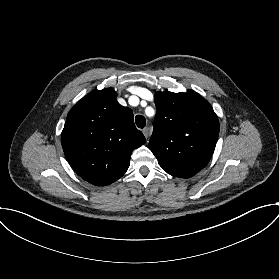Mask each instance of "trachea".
I'll use <instances>...</instances> for the list:
<instances>
[{"label":"trachea","instance_id":"1","mask_svg":"<svg viewBox=\"0 0 279 279\" xmlns=\"http://www.w3.org/2000/svg\"><path fill=\"white\" fill-rule=\"evenodd\" d=\"M135 122L137 124V127L143 129L146 125V119L144 116L138 115L135 117Z\"/></svg>","mask_w":279,"mask_h":279}]
</instances>
